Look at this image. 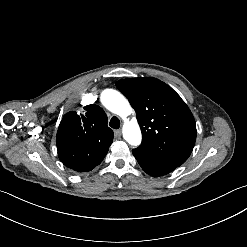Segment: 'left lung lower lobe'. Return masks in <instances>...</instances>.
<instances>
[{"label": "left lung lower lobe", "instance_id": "0a47b994", "mask_svg": "<svg viewBox=\"0 0 247 247\" xmlns=\"http://www.w3.org/2000/svg\"><path fill=\"white\" fill-rule=\"evenodd\" d=\"M132 152L141 168L151 176H163L172 172L175 168L179 167L159 158H156L148 152L140 150L138 148L133 149Z\"/></svg>", "mask_w": 247, "mask_h": 247}]
</instances>
